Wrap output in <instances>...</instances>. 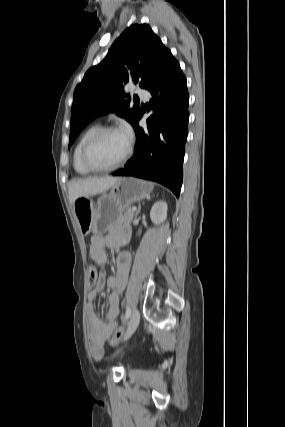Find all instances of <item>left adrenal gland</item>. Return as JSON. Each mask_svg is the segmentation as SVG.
<instances>
[{
    "instance_id": "left-adrenal-gland-1",
    "label": "left adrenal gland",
    "mask_w": 285,
    "mask_h": 427,
    "mask_svg": "<svg viewBox=\"0 0 285 427\" xmlns=\"http://www.w3.org/2000/svg\"><path fill=\"white\" fill-rule=\"evenodd\" d=\"M140 210H141V206L139 205V206H138V210H137V211H136V213H135V216H137V215L139 214Z\"/></svg>"
}]
</instances>
